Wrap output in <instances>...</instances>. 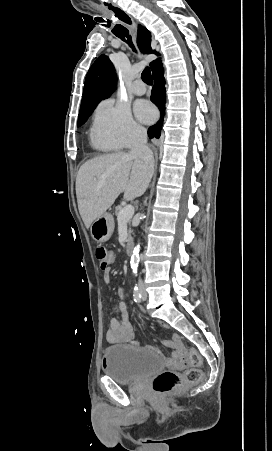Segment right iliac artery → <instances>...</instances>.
<instances>
[{
    "label": "right iliac artery",
    "mask_w": 272,
    "mask_h": 451,
    "mask_svg": "<svg viewBox=\"0 0 272 451\" xmlns=\"http://www.w3.org/2000/svg\"><path fill=\"white\" fill-rule=\"evenodd\" d=\"M133 298L135 302L140 303L142 299L141 291L137 285L134 287Z\"/></svg>",
    "instance_id": "right-iliac-artery-1"
}]
</instances>
